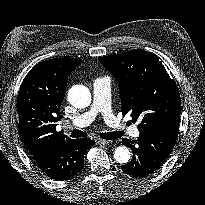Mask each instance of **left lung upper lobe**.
Here are the masks:
<instances>
[{
	"label": "left lung upper lobe",
	"instance_id": "5c2ea615",
	"mask_svg": "<svg viewBox=\"0 0 205 205\" xmlns=\"http://www.w3.org/2000/svg\"><path fill=\"white\" fill-rule=\"evenodd\" d=\"M99 61L119 85L123 115L140 120L139 132L179 124L180 94L157 56L135 49Z\"/></svg>",
	"mask_w": 205,
	"mask_h": 205
}]
</instances>
